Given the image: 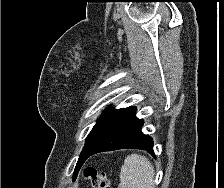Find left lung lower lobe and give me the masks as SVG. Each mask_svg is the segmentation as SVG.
Returning <instances> with one entry per match:
<instances>
[{"label": "left lung lower lobe", "instance_id": "0a47b994", "mask_svg": "<svg viewBox=\"0 0 224 188\" xmlns=\"http://www.w3.org/2000/svg\"><path fill=\"white\" fill-rule=\"evenodd\" d=\"M143 121L136 118L135 108L129 107L115 122L114 126L104 135L96 147L80 157L76 168L85 160L99 152L118 149H143L154 154L153 141L148 135L141 132Z\"/></svg>", "mask_w": 224, "mask_h": 188}]
</instances>
